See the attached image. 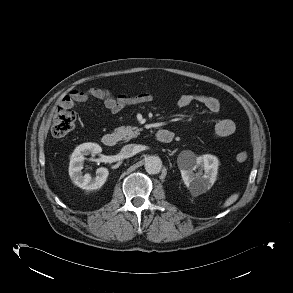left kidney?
<instances>
[{
    "label": "left kidney",
    "instance_id": "1",
    "mask_svg": "<svg viewBox=\"0 0 293 293\" xmlns=\"http://www.w3.org/2000/svg\"><path fill=\"white\" fill-rule=\"evenodd\" d=\"M218 165L217 157L209 154L195 157L186 164H179L182 179L192 195L198 196L213 186L217 177ZM196 169L199 171L194 173ZM202 170H204V174Z\"/></svg>",
    "mask_w": 293,
    "mask_h": 293
}]
</instances>
